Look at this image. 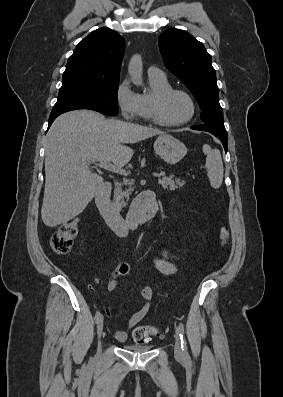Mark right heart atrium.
Returning a JSON list of instances; mask_svg holds the SVG:
<instances>
[{
    "instance_id": "d8ad5b80",
    "label": "right heart atrium",
    "mask_w": 283,
    "mask_h": 397,
    "mask_svg": "<svg viewBox=\"0 0 283 397\" xmlns=\"http://www.w3.org/2000/svg\"><path fill=\"white\" fill-rule=\"evenodd\" d=\"M116 102L124 118L135 120L143 117L140 95L132 89L128 79H124L118 84Z\"/></svg>"
}]
</instances>
